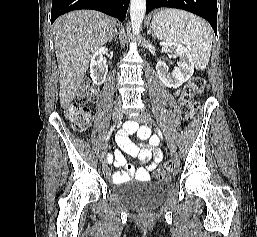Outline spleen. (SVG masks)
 I'll return each mask as SVG.
<instances>
[{
  "label": "spleen",
  "mask_w": 257,
  "mask_h": 237,
  "mask_svg": "<svg viewBox=\"0 0 257 237\" xmlns=\"http://www.w3.org/2000/svg\"><path fill=\"white\" fill-rule=\"evenodd\" d=\"M151 28L161 41L185 45L198 70L206 68L212 49V31L205 21L185 11L164 9L153 17Z\"/></svg>",
  "instance_id": "obj_1"
}]
</instances>
